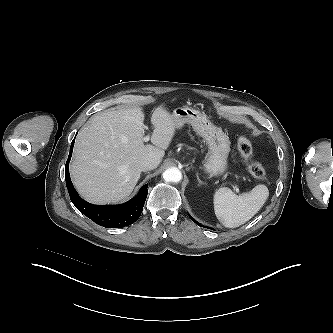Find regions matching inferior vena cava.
Listing matches in <instances>:
<instances>
[{
    "instance_id": "inferior-vena-cava-1",
    "label": "inferior vena cava",
    "mask_w": 333,
    "mask_h": 333,
    "mask_svg": "<svg viewBox=\"0 0 333 333\" xmlns=\"http://www.w3.org/2000/svg\"><path fill=\"white\" fill-rule=\"evenodd\" d=\"M160 163V160L157 158H146L141 162L142 171H148L156 168Z\"/></svg>"
}]
</instances>
